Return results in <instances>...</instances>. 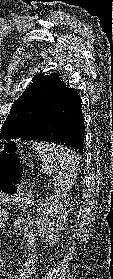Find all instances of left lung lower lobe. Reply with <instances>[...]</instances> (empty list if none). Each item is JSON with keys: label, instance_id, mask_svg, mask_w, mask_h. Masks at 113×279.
I'll return each mask as SVG.
<instances>
[{"label": "left lung lower lobe", "instance_id": "obj_1", "mask_svg": "<svg viewBox=\"0 0 113 279\" xmlns=\"http://www.w3.org/2000/svg\"><path fill=\"white\" fill-rule=\"evenodd\" d=\"M32 118L18 137L72 147L83 155L85 137L80 96L59 80L45 99H40Z\"/></svg>", "mask_w": 113, "mask_h": 279}]
</instances>
